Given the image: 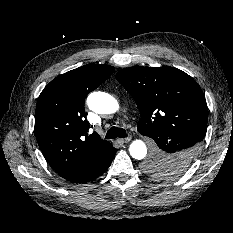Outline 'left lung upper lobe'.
I'll use <instances>...</instances> for the list:
<instances>
[{"instance_id":"obj_1","label":"left lung upper lobe","mask_w":233,"mask_h":233,"mask_svg":"<svg viewBox=\"0 0 233 233\" xmlns=\"http://www.w3.org/2000/svg\"><path fill=\"white\" fill-rule=\"evenodd\" d=\"M116 79L138 106L139 133L150 136L157 130L180 131L194 136L200 148L207 131L208 108L192 77L177 68L163 66L126 68L116 74ZM143 167L156 177L170 171L179 175L186 171L155 153Z\"/></svg>"}]
</instances>
